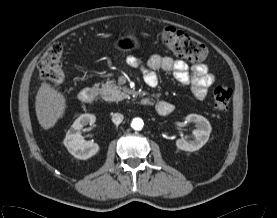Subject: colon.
Instances as JSON below:
<instances>
[{"label":"colon","mask_w":277,"mask_h":218,"mask_svg":"<svg viewBox=\"0 0 277 218\" xmlns=\"http://www.w3.org/2000/svg\"><path fill=\"white\" fill-rule=\"evenodd\" d=\"M162 44L175 55L192 62L204 61L207 57V48L200 41L188 34L173 29L165 28L160 32ZM63 45L53 43L42 55L38 63L40 76L53 85H60L65 79L62 67ZM233 91L229 86L220 85L213 91L214 107L218 111H225L231 101Z\"/></svg>","instance_id":"obj_1"}]
</instances>
